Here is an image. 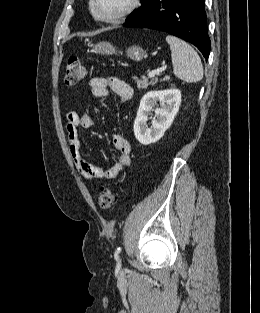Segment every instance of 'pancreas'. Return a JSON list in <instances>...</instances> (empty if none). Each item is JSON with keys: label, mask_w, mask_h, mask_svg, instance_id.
Masks as SVG:
<instances>
[{"label": "pancreas", "mask_w": 260, "mask_h": 313, "mask_svg": "<svg viewBox=\"0 0 260 313\" xmlns=\"http://www.w3.org/2000/svg\"><path fill=\"white\" fill-rule=\"evenodd\" d=\"M137 87L139 89H146L149 85H155L158 82V78H153L150 81L147 77H142L141 79H138L137 77H134ZM167 80V78L163 79V81Z\"/></svg>", "instance_id": "obj_1"}]
</instances>
